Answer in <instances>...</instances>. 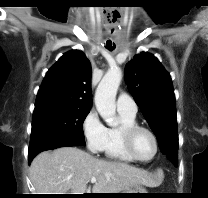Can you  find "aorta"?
I'll return each instance as SVG.
<instances>
[{
    "mask_svg": "<svg viewBox=\"0 0 208 198\" xmlns=\"http://www.w3.org/2000/svg\"><path fill=\"white\" fill-rule=\"evenodd\" d=\"M121 79L120 69H110L100 81L95 92L96 109L107 125L111 127L118 125L115 101Z\"/></svg>",
    "mask_w": 208,
    "mask_h": 198,
    "instance_id": "1",
    "label": "aorta"
}]
</instances>
